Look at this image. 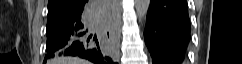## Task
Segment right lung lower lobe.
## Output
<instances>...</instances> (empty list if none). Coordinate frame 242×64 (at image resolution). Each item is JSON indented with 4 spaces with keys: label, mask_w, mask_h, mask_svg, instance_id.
Masks as SVG:
<instances>
[{
    "label": "right lung lower lobe",
    "mask_w": 242,
    "mask_h": 64,
    "mask_svg": "<svg viewBox=\"0 0 242 64\" xmlns=\"http://www.w3.org/2000/svg\"><path fill=\"white\" fill-rule=\"evenodd\" d=\"M113 1L86 0L80 9V18L57 25L46 33V59H52L57 56H79L94 64H114L113 58L99 44L97 36L88 33L89 24L94 19L100 25L112 21L114 18Z\"/></svg>",
    "instance_id": "obj_1"
}]
</instances>
